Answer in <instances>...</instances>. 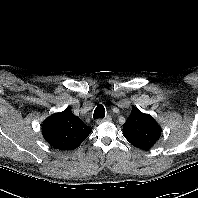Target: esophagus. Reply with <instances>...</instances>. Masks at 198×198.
<instances>
[{"label": "esophagus", "instance_id": "esophagus-1", "mask_svg": "<svg viewBox=\"0 0 198 198\" xmlns=\"http://www.w3.org/2000/svg\"><path fill=\"white\" fill-rule=\"evenodd\" d=\"M111 120H112L111 116H106V117L103 118V119H97V120H96V123H97V124H102V123H104V122H110Z\"/></svg>", "mask_w": 198, "mask_h": 198}]
</instances>
